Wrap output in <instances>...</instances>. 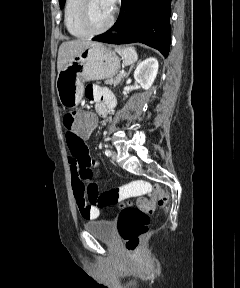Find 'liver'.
Instances as JSON below:
<instances>
[{"label": "liver", "instance_id": "6515ba94", "mask_svg": "<svg viewBox=\"0 0 240 288\" xmlns=\"http://www.w3.org/2000/svg\"><path fill=\"white\" fill-rule=\"evenodd\" d=\"M93 43L90 39H77L63 42L58 51L57 70L58 73L75 56L80 54L87 46Z\"/></svg>", "mask_w": 240, "mask_h": 288}]
</instances>
